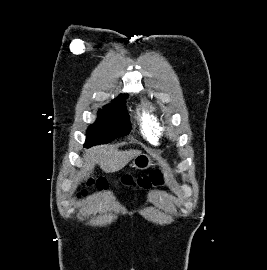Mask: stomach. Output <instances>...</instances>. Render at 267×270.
Returning a JSON list of instances; mask_svg holds the SVG:
<instances>
[{
    "label": "stomach",
    "instance_id": "stomach-1",
    "mask_svg": "<svg viewBox=\"0 0 267 270\" xmlns=\"http://www.w3.org/2000/svg\"><path fill=\"white\" fill-rule=\"evenodd\" d=\"M152 165H153L152 159L146 154H139L133 159L131 163V167L139 170L147 169Z\"/></svg>",
    "mask_w": 267,
    "mask_h": 270
}]
</instances>
